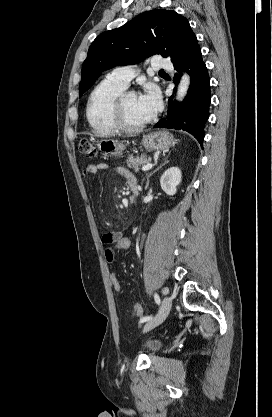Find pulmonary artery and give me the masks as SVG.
I'll use <instances>...</instances> for the list:
<instances>
[{
	"mask_svg": "<svg viewBox=\"0 0 272 417\" xmlns=\"http://www.w3.org/2000/svg\"><path fill=\"white\" fill-rule=\"evenodd\" d=\"M154 69H171L172 64L169 60L157 57L153 65ZM137 72L132 66L117 67L109 73V77L117 83L128 87L130 81L136 76Z\"/></svg>",
	"mask_w": 272,
	"mask_h": 417,
	"instance_id": "pulmonary-artery-1",
	"label": "pulmonary artery"
}]
</instances>
